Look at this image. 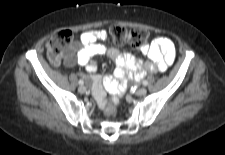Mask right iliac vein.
<instances>
[{
    "label": "right iliac vein",
    "instance_id": "right-iliac-vein-1",
    "mask_svg": "<svg viewBox=\"0 0 225 155\" xmlns=\"http://www.w3.org/2000/svg\"><path fill=\"white\" fill-rule=\"evenodd\" d=\"M78 91H79V93L83 94V93H85V91H86V87H85L84 85H81V86L78 88Z\"/></svg>",
    "mask_w": 225,
    "mask_h": 155
}]
</instances>
